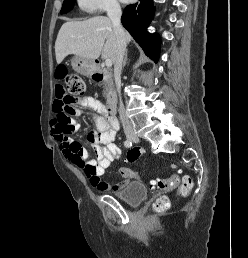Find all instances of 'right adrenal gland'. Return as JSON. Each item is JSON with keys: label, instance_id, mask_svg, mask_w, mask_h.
Returning <instances> with one entry per match:
<instances>
[{"label": "right adrenal gland", "instance_id": "2a0ac1e0", "mask_svg": "<svg viewBox=\"0 0 248 258\" xmlns=\"http://www.w3.org/2000/svg\"><path fill=\"white\" fill-rule=\"evenodd\" d=\"M127 55H128V50H126L125 57H124L123 64H122V68H124L126 63H127Z\"/></svg>", "mask_w": 248, "mask_h": 258}]
</instances>
